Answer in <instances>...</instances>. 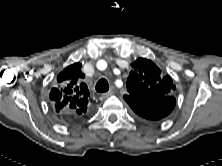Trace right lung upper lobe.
<instances>
[{"instance_id": "right-lung-upper-lobe-1", "label": "right lung upper lobe", "mask_w": 222, "mask_h": 166, "mask_svg": "<svg viewBox=\"0 0 222 166\" xmlns=\"http://www.w3.org/2000/svg\"><path fill=\"white\" fill-rule=\"evenodd\" d=\"M82 65L77 62L66 67L58 76V87L51 90V104L63 117L74 118L84 116L87 111L89 91L82 82L85 75Z\"/></svg>"}]
</instances>
